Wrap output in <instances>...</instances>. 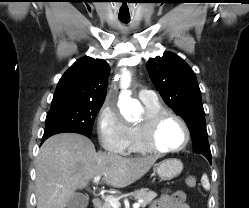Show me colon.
<instances>
[{"label":"colon","mask_w":249,"mask_h":208,"mask_svg":"<svg viewBox=\"0 0 249 208\" xmlns=\"http://www.w3.org/2000/svg\"><path fill=\"white\" fill-rule=\"evenodd\" d=\"M186 184L188 187L192 188L196 185V178L193 176H189L186 178Z\"/></svg>","instance_id":"5ec220e1"}]
</instances>
